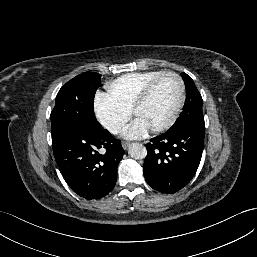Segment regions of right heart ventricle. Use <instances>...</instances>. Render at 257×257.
Wrapping results in <instances>:
<instances>
[{"label": "right heart ventricle", "instance_id": "right-heart-ventricle-1", "mask_svg": "<svg viewBox=\"0 0 257 257\" xmlns=\"http://www.w3.org/2000/svg\"><path fill=\"white\" fill-rule=\"evenodd\" d=\"M161 72L152 70L118 77L107 84V95L113 102L131 111L143 88Z\"/></svg>", "mask_w": 257, "mask_h": 257}]
</instances>
